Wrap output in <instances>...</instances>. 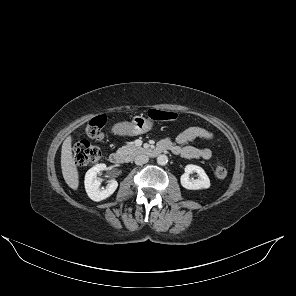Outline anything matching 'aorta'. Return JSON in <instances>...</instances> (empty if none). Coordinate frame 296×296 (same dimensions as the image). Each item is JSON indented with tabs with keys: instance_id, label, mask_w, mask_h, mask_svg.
<instances>
[{
	"instance_id": "1",
	"label": "aorta",
	"mask_w": 296,
	"mask_h": 296,
	"mask_svg": "<svg viewBox=\"0 0 296 296\" xmlns=\"http://www.w3.org/2000/svg\"><path fill=\"white\" fill-rule=\"evenodd\" d=\"M167 162H168V157L166 155L162 154L157 157V163L159 165L164 166L167 164Z\"/></svg>"
}]
</instances>
